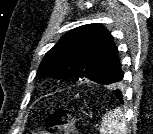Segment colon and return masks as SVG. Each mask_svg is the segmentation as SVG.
Instances as JSON below:
<instances>
[{"label":"colon","instance_id":"1","mask_svg":"<svg viewBox=\"0 0 153 134\" xmlns=\"http://www.w3.org/2000/svg\"><path fill=\"white\" fill-rule=\"evenodd\" d=\"M46 127L43 132H27L26 134H76L69 114L63 109H57L47 117Z\"/></svg>","mask_w":153,"mask_h":134}]
</instances>
